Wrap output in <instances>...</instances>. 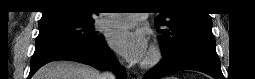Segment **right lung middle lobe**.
I'll return each instance as SVG.
<instances>
[{
	"mask_svg": "<svg viewBox=\"0 0 255 79\" xmlns=\"http://www.w3.org/2000/svg\"><path fill=\"white\" fill-rule=\"evenodd\" d=\"M94 21H85L75 17H58L40 20L39 35L35 44L48 41H65L70 43H95L100 40L94 32Z\"/></svg>",
	"mask_w": 255,
	"mask_h": 79,
	"instance_id": "dd1d6c3e",
	"label": "right lung middle lobe"
}]
</instances>
